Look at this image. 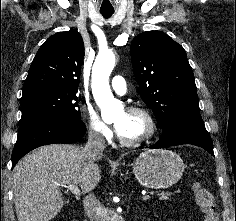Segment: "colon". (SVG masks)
<instances>
[{"label":"colon","mask_w":236,"mask_h":221,"mask_svg":"<svg viewBox=\"0 0 236 221\" xmlns=\"http://www.w3.org/2000/svg\"><path fill=\"white\" fill-rule=\"evenodd\" d=\"M194 198L203 213V221H219L212 193L199 183L192 186Z\"/></svg>","instance_id":"obj_1"}]
</instances>
